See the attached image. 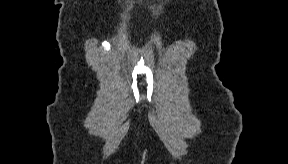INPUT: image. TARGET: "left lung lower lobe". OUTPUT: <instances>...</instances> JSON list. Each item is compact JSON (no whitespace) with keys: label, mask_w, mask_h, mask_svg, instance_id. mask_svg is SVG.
<instances>
[{"label":"left lung lower lobe","mask_w":288,"mask_h":164,"mask_svg":"<svg viewBox=\"0 0 288 164\" xmlns=\"http://www.w3.org/2000/svg\"><path fill=\"white\" fill-rule=\"evenodd\" d=\"M247 79L251 83L258 85L262 82V73L258 69H252L249 71V73L247 75Z\"/></svg>","instance_id":"0a47b994"}]
</instances>
